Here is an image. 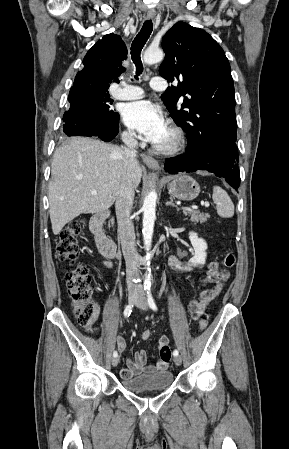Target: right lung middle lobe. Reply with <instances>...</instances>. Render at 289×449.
<instances>
[{
  "label": "right lung middle lobe",
  "mask_w": 289,
  "mask_h": 449,
  "mask_svg": "<svg viewBox=\"0 0 289 449\" xmlns=\"http://www.w3.org/2000/svg\"><path fill=\"white\" fill-rule=\"evenodd\" d=\"M107 90L108 89H101L87 94L78 110L72 113L75 119L96 123L109 122L115 115V112L110 109V105L113 101L110 99ZM65 116H67V114H64V117Z\"/></svg>",
  "instance_id": "obj_1"
}]
</instances>
